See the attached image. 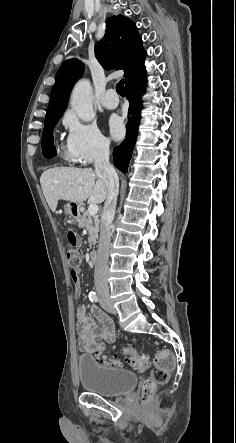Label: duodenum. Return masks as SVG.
Here are the masks:
<instances>
[{"label": "duodenum", "instance_id": "410a0bca", "mask_svg": "<svg viewBox=\"0 0 236 443\" xmlns=\"http://www.w3.org/2000/svg\"><path fill=\"white\" fill-rule=\"evenodd\" d=\"M89 259H90L91 263L95 264L97 262L96 254L95 253H90Z\"/></svg>", "mask_w": 236, "mask_h": 443}]
</instances>
